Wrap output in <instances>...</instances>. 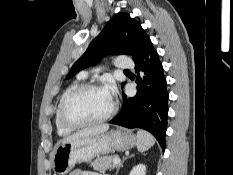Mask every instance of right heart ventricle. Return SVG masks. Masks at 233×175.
<instances>
[{"label":"right heart ventricle","mask_w":233,"mask_h":175,"mask_svg":"<svg viewBox=\"0 0 233 175\" xmlns=\"http://www.w3.org/2000/svg\"><path fill=\"white\" fill-rule=\"evenodd\" d=\"M81 83V79H78L74 82H72L71 84H69L64 90L63 92L61 93L60 97H59V100L57 102V105H56V109H55V114H54V120H55V126H56V129H57V132L58 134L60 135H67L69 134L72 129L64 126L61 121H60V118H59V108H60V104L62 102V100L64 99V97L71 91L73 90L75 87H77L78 85H80Z\"/></svg>","instance_id":"1"}]
</instances>
